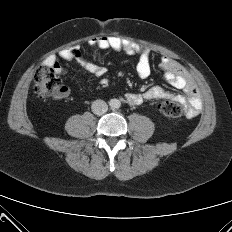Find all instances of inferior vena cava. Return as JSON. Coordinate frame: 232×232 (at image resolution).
I'll return each mask as SVG.
<instances>
[{
  "label": "inferior vena cava",
  "instance_id": "602c4592",
  "mask_svg": "<svg viewBox=\"0 0 232 232\" xmlns=\"http://www.w3.org/2000/svg\"><path fill=\"white\" fill-rule=\"evenodd\" d=\"M92 112L96 115H102L107 112L108 105L103 100H95L91 106Z\"/></svg>",
  "mask_w": 232,
  "mask_h": 232
}]
</instances>
